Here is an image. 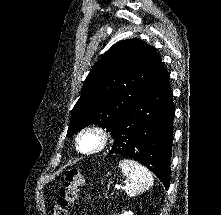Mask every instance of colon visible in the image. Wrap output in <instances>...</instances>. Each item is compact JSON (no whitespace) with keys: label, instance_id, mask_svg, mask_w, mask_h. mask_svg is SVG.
I'll list each match as a JSON object with an SVG mask.
<instances>
[{"label":"colon","instance_id":"5ec220e1","mask_svg":"<svg viewBox=\"0 0 221 215\" xmlns=\"http://www.w3.org/2000/svg\"><path fill=\"white\" fill-rule=\"evenodd\" d=\"M83 182V176L79 171L70 170L66 173L57 203L51 208V215H68V208L76 202Z\"/></svg>","mask_w":221,"mask_h":215}]
</instances>
